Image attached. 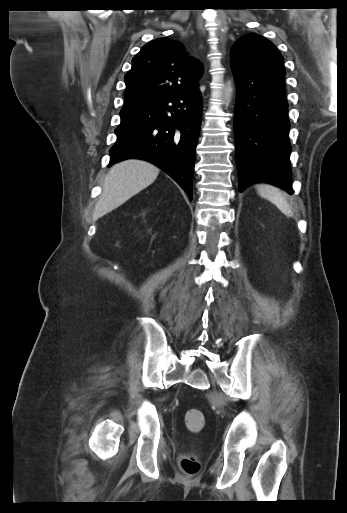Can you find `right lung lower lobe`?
<instances>
[{
  "label": "right lung lower lobe",
  "instance_id": "1",
  "mask_svg": "<svg viewBox=\"0 0 347 513\" xmlns=\"http://www.w3.org/2000/svg\"><path fill=\"white\" fill-rule=\"evenodd\" d=\"M201 114L199 90L122 109L109 166L129 158L149 161L169 174L192 200Z\"/></svg>",
  "mask_w": 347,
  "mask_h": 513
}]
</instances>
